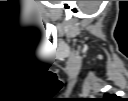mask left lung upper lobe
<instances>
[{"label":"left lung upper lobe","mask_w":128,"mask_h":101,"mask_svg":"<svg viewBox=\"0 0 128 101\" xmlns=\"http://www.w3.org/2000/svg\"><path fill=\"white\" fill-rule=\"evenodd\" d=\"M115 95L105 94V99H109L107 101H115Z\"/></svg>","instance_id":"left-lung-upper-lobe-1"}]
</instances>
